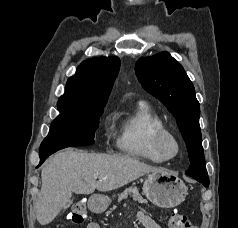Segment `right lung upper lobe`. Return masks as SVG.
<instances>
[{"mask_svg": "<svg viewBox=\"0 0 238 228\" xmlns=\"http://www.w3.org/2000/svg\"><path fill=\"white\" fill-rule=\"evenodd\" d=\"M120 60L101 57L84 61L76 75L69 78L66 90L57 107L62 111H91L107 103L113 83L118 75Z\"/></svg>", "mask_w": 238, "mask_h": 228, "instance_id": "1", "label": "right lung upper lobe"}]
</instances>
